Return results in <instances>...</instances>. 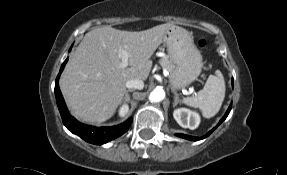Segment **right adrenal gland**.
<instances>
[{"instance_id":"right-adrenal-gland-1","label":"right adrenal gland","mask_w":287,"mask_h":175,"mask_svg":"<svg viewBox=\"0 0 287 175\" xmlns=\"http://www.w3.org/2000/svg\"><path fill=\"white\" fill-rule=\"evenodd\" d=\"M133 90H127L125 97H124V102H128L130 100V95L129 92H132Z\"/></svg>"}]
</instances>
